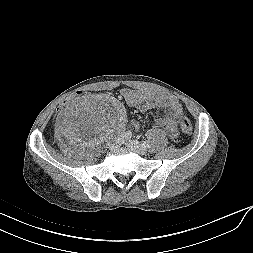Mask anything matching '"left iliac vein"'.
<instances>
[{
  "mask_svg": "<svg viewBox=\"0 0 253 253\" xmlns=\"http://www.w3.org/2000/svg\"><path fill=\"white\" fill-rule=\"evenodd\" d=\"M125 145L127 146L128 149H130L131 151H133V152H135V153H137L139 155H144L147 152L146 147H144L143 145H141L136 140H127L125 142Z\"/></svg>",
  "mask_w": 253,
  "mask_h": 253,
  "instance_id": "obj_1",
  "label": "left iliac vein"
}]
</instances>
